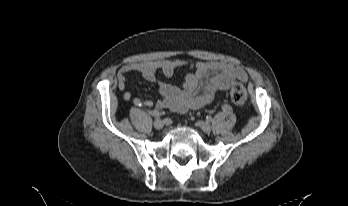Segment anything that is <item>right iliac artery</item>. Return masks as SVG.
Here are the masks:
<instances>
[{
	"label": "right iliac artery",
	"mask_w": 348,
	"mask_h": 206,
	"mask_svg": "<svg viewBox=\"0 0 348 206\" xmlns=\"http://www.w3.org/2000/svg\"><path fill=\"white\" fill-rule=\"evenodd\" d=\"M132 102H133V106H136L137 109L146 110V105H143V103H141L137 97H132ZM153 114L155 117H160V115H162L158 111H153Z\"/></svg>",
	"instance_id": "right-iliac-artery-1"
}]
</instances>
